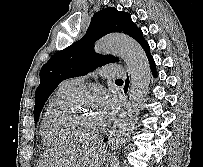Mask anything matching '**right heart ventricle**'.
Instances as JSON below:
<instances>
[{"label":"right heart ventricle","instance_id":"1","mask_svg":"<svg viewBox=\"0 0 203 167\" xmlns=\"http://www.w3.org/2000/svg\"><path fill=\"white\" fill-rule=\"evenodd\" d=\"M75 88L68 84H62L50 97L43 112L40 123V136L44 145L49 147L60 146L68 142L55 136L49 129V121L52 115L75 92Z\"/></svg>","mask_w":203,"mask_h":167}]
</instances>
